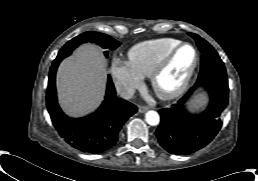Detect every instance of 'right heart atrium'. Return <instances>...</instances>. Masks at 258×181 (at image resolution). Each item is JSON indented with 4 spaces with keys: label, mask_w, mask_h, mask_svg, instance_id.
Returning a JSON list of instances; mask_svg holds the SVG:
<instances>
[{
    "label": "right heart atrium",
    "mask_w": 258,
    "mask_h": 181,
    "mask_svg": "<svg viewBox=\"0 0 258 181\" xmlns=\"http://www.w3.org/2000/svg\"><path fill=\"white\" fill-rule=\"evenodd\" d=\"M110 72L118 93L124 98L130 97L142 84V78L121 60L112 61Z\"/></svg>",
    "instance_id": "d8ad5b80"
}]
</instances>
